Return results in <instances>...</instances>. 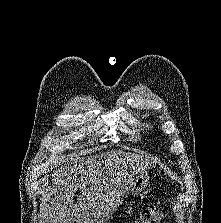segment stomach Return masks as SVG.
<instances>
[{
    "instance_id": "stomach-1",
    "label": "stomach",
    "mask_w": 221,
    "mask_h": 223,
    "mask_svg": "<svg viewBox=\"0 0 221 223\" xmlns=\"http://www.w3.org/2000/svg\"><path fill=\"white\" fill-rule=\"evenodd\" d=\"M148 183H149L148 173L145 171L139 173L136 176L135 180L133 181L132 185L130 186V189H129L128 193L126 194V196L129 193L138 194L140 192H143L146 189V187L148 186Z\"/></svg>"
}]
</instances>
